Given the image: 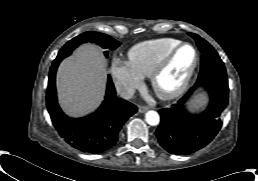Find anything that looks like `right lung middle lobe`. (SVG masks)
I'll list each match as a JSON object with an SVG mask.
<instances>
[{
  "instance_id": "1",
  "label": "right lung middle lobe",
  "mask_w": 258,
  "mask_h": 181,
  "mask_svg": "<svg viewBox=\"0 0 258 181\" xmlns=\"http://www.w3.org/2000/svg\"><path fill=\"white\" fill-rule=\"evenodd\" d=\"M84 42H94L99 46H101L102 48L111 49V50L116 49L121 44L120 42L116 41L114 38H112L109 35L99 33V32L89 31V32L82 33L76 36L75 38L71 39L70 41H68L61 48L56 58L63 59L69 56L76 47H78L80 44ZM104 54L105 56H108V51H105Z\"/></svg>"
}]
</instances>
